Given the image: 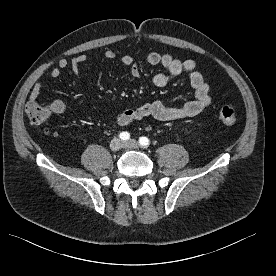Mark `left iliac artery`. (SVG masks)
Listing matches in <instances>:
<instances>
[{
  "instance_id": "44dca946",
  "label": "left iliac artery",
  "mask_w": 276,
  "mask_h": 276,
  "mask_svg": "<svg viewBox=\"0 0 276 276\" xmlns=\"http://www.w3.org/2000/svg\"><path fill=\"white\" fill-rule=\"evenodd\" d=\"M139 143L142 147H147L150 144V140L147 137H140L139 138Z\"/></svg>"
}]
</instances>
